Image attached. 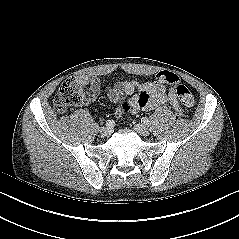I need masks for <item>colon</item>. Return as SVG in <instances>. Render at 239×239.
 <instances>
[{"instance_id":"colon-1","label":"colon","mask_w":239,"mask_h":239,"mask_svg":"<svg viewBox=\"0 0 239 239\" xmlns=\"http://www.w3.org/2000/svg\"><path fill=\"white\" fill-rule=\"evenodd\" d=\"M156 81L168 83L175 87L178 100L187 107L195 104V98L190 89L181 83L177 74L170 71H161L156 75ZM86 90L82 84L73 78L64 80L54 97V107L58 112H64L68 108L81 106L86 101ZM122 109L128 111L130 103L125 101Z\"/></svg>"}]
</instances>
